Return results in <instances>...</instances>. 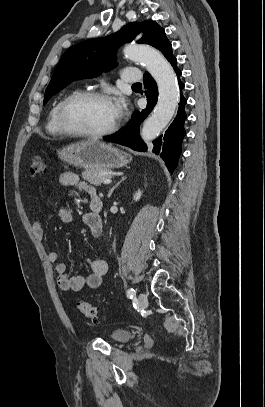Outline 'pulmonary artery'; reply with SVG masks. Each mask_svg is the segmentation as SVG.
I'll return each instance as SVG.
<instances>
[{
    "label": "pulmonary artery",
    "mask_w": 265,
    "mask_h": 407,
    "mask_svg": "<svg viewBox=\"0 0 265 407\" xmlns=\"http://www.w3.org/2000/svg\"><path fill=\"white\" fill-rule=\"evenodd\" d=\"M122 80L125 83H139L141 80V73L135 67H126L122 72Z\"/></svg>",
    "instance_id": "obj_1"
}]
</instances>
